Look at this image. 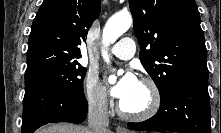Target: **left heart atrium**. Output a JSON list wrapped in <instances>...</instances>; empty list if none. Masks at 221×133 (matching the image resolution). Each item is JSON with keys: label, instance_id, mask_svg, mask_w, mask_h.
Masks as SVG:
<instances>
[{"label": "left heart atrium", "instance_id": "39dd6f15", "mask_svg": "<svg viewBox=\"0 0 221 133\" xmlns=\"http://www.w3.org/2000/svg\"><path fill=\"white\" fill-rule=\"evenodd\" d=\"M139 84L140 81L134 72L128 70L115 85L110 87V93L113 97L120 100V102H123L134 94Z\"/></svg>", "mask_w": 221, "mask_h": 133}]
</instances>
